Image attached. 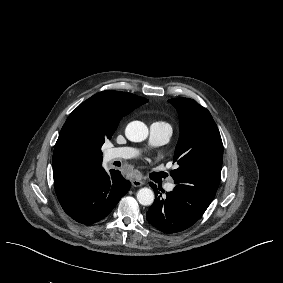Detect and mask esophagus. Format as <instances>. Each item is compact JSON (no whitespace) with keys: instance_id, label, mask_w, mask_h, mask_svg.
<instances>
[{"instance_id":"34e87169","label":"esophagus","mask_w":283,"mask_h":283,"mask_svg":"<svg viewBox=\"0 0 283 283\" xmlns=\"http://www.w3.org/2000/svg\"><path fill=\"white\" fill-rule=\"evenodd\" d=\"M131 184L134 186V187H140L144 184L143 181L141 180H136V179H133L131 180Z\"/></svg>"}]
</instances>
